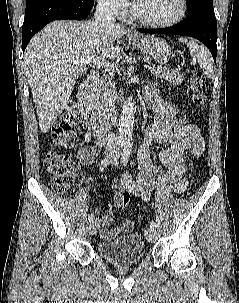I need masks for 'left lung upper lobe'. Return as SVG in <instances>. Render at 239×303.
Segmentation results:
<instances>
[{
  "label": "left lung upper lobe",
  "mask_w": 239,
  "mask_h": 303,
  "mask_svg": "<svg viewBox=\"0 0 239 303\" xmlns=\"http://www.w3.org/2000/svg\"><path fill=\"white\" fill-rule=\"evenodd\" d=\"M188 16L203 9H213V0H186Z\"/></svg>",
  "instance_id": "5c2ea615"
}]
</instances>
